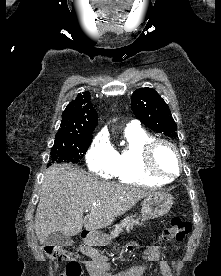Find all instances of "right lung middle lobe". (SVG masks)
<instances>
[{
  "mask_svg": "<svg viewBox=\"0 0 221 276\" xmlns=\"http://www.w3.org/2000/svg\"><path fill=\"white\" fill-rule=\"evenodd\" d=\"M91 141L92 138L55 141L51 149L52 163L79 162L88 150Z\"/></svg>",
  "mask_w": 221,
  "mask_h": 276,
  "instance_id": "right-lung-middle-lobe-1",
  "label": "right lung middle lobe"
}]
</instances>
